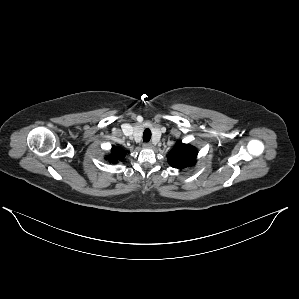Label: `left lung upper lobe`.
I'll list each match as a JSON object with an SVG mask.
<instances>
[{
    "instance_id": "5c2ea615",
    "label": "left lung upper lobe",
    "mask_w": 299,
    "mask_h": 299,
    "mask_svg": "<svg viewBox=\"0 0 299 299\" xmlns=\"http://www.w3.org/2000/svg\"><path fill=\"white\" fill-rule=\"evenodd\" d=\"M197 149L182 141H177L174 148L168 154L169 164L178 169L192 166L196 162Z\"/></svg>"
}]
</instances>
